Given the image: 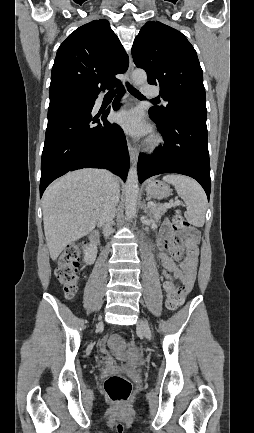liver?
Segmentation results:
<instances>
[{"mask_svg":"<svg viewBox=\"0 0 254 433\" xmlns=\"http://www.w3.org/2000/svg\"><path fill=\"white\" fill-rule=\"evenodd\" d=\"M106 190L105 172L96 169L68 173L47 188L42 199L43 222L52 260L94 229L103 211Z\"/></svg>","mask_w":254,"mask_h":433,"instance_id":"6515ba94","label":"liver"}]
</instances>
